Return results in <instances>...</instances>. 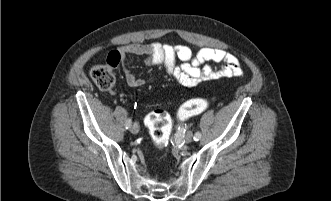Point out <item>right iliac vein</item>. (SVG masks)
I'll return each mask as SVG.
<instances>
[{"mask_svg": "<svg viewBox=\"0 0 331 201\" xmlns=\"http://www.w3.org/2000/svg\"><path fill=\"white\" fill-rule=\"evenodd\" d=\"M130 131L133 133V134H137L139 132V127L136 123H134L133 125H131L130 127Z\"/></svg>", "mask_w": 331, "mask_h": 201, "instance_id": "right-iliac-vein-1", "label": "right iliac vein"}]
</instances>
